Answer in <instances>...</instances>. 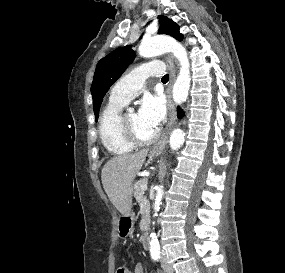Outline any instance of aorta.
Masks as SVG:
<instances>
[{
  "instance_id": "1",
  "label": "aorta",
  "mask_w": 285,
  "mask_h": 273,
  "mask_svg": "<svg viewBox=\"0 0 285 273\" xmlns=\"http://www.w3.org/2000/svg\"><path fill=\"white\" fill-rule=\"evenodd\" d=\"M165 52H171L180 63L179 74L172 89L174 102L180 104L186 101L191 83L190 63L186 49L178 41L167 36L144 39L139 46V54L144 58L155 57ZM184 140V132L181 129L173 130L170 135V148L173 151L178 150L184 144ZM163 195V186H158L154 202V216H157ZM150 237V253L151 255H159L160 245L156 233L151 232Z\"/></svg>"
}]
</instances>
